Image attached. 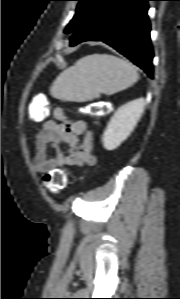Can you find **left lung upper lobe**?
<instances>
[{
  "mask_svg": "<svg viewBox=\"0 0 180 299\" xmlns=\"http://www.w3.org/2000/svg\"><path fill=\"white\" fill-rule=\"evenodd\" d=\"M78 1L79 4L76 8V14L74 15L73 19L67 25L65 32L70 33L76 31L79 25L82 23L84 17L94 5L97 0H75Z\"/></svg>",
  "mask_w": 180,
  "mask_h": 299,
  "instance_id": "5c2ea615",
  "label": "left lung upper lobe"
}]
</instances>
